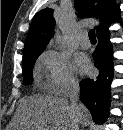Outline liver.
<instances>
[{
    "instance_id": "6515ba94",
    "label": "liver",
    "mask_w": 123,
    "mask_h": 130,
    "mask_svg": "<svg viewBox=\"0 0 123 130\" xmlns=\"http://www.w3.org/2000/svg\"><path fill=\"white\" fill-rule=\"evenodd\" d=\"M81 124L90 119L87 108L79 103ZM9 130H71L72 112L67 98L50 95H32L19 101ZM50 128V129H49Z\"/></svg>"
}]
</instances>
